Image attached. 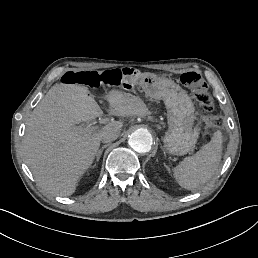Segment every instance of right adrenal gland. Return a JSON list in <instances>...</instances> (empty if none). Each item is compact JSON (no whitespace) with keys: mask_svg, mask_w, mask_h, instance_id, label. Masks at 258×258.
I'll return each mask as SVG.
<instances>
[{"mask_svg":"<svg viewBox=\"0 0 258 258\" xmlns=\"http://www.w3.org/2000/svg\"><path fill=\"white\" fill-rule=\"evenodd\" d=\"M109 145H103L97 152H96V161H99L101 154L105 148H107Z\"/></svg>","mask_w":258,"mask_h":258,"instance_id":"obj_1","label":"right adrenal gland"}]
</instances>
